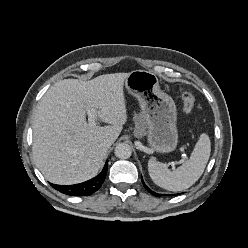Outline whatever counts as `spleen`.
<instances>
[{
  "label": "spleen",
  "instance_id": "3e777b00",
  "mask_svg": "<svg viewBox=\"0 0 248 248\" xmlns=\"http://www.w3.org/2000/svg\"><path fill=\"white\" fill-rule=\"evenodd\" d=\"M211 152L209 136L200 135L189 160L170 171L167 165L154 159L148 161V172L153 182L170 191H182L191 187L203 174Z\"/></svg>",
  "mask_w": 248,
  "mask_h": 248
}]
</instances>
